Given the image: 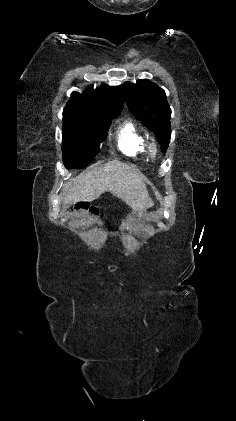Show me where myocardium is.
<instances>
[{
  "instance_id": "obj_1",
  "label": "myocardium",
  "mask_w": 236,
  "mask_h": 421,
  "mask_svg": "<svg viewBox=\"0 0 236 421\" xmlns=\"http://www.w3.org/2000/svg\"><path fill=\"white\" fill-rule=\"evenodd\" d=\"M147 149H148L149 155L152 158H156L157 157V155H158V146H157V144L154 141H152V142H150L148 144Z\"/></svg>"
}]
</instances>
